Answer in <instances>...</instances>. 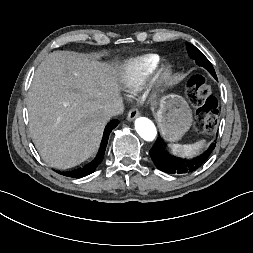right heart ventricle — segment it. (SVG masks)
<instances>
[{"label": "right heart ventricle", "mask_w": 253, "mask_h": 253, "mask_svg": "<svg viewBox=\"0 0 253 253\" xmlns=\"http://www.w3.org/2000/svg\"><path fill=\"white\" fill-rule=\"evenodd\" d=\"M160 62L157 54H145L126 61L120 69V80L129 91L142 88Z\"/></svg>", "instance_id": "obj_1"}]
</instances>
